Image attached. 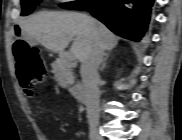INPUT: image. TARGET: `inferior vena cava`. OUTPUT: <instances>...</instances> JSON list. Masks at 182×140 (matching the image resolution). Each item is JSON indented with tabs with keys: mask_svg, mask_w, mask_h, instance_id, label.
I'll use <instances>...</instances> for the list:
<instances>
[{
	"mask_svg": "<svg viewBox=\"0 0 182 140\" xmlns=\"http://www.w3.org/2000/svg\"><path fill=\"white\" fill-rule=\"evenodd\" d=\"M103 59V50L94 46L90 55L82 62L81 77L90 132H94L99 120V74L98 68Z\"/></svg>",
	"mask_w": 182,
	"mask_h": 140,
	"instance_id": "obj_1",
	"label": "inferior vena cava"
}]
</instances>
